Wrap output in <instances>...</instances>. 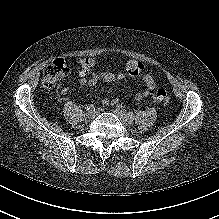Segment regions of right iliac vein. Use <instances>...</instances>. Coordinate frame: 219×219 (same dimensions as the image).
Wrapping results in <instances>:
<instances>
[{"label":"right iliac vein","mask_w":219,"mask_h":219,"mask_svg":"<svg viewBox=\"0 0 219 219\" xmlns=\"http://www.w3.org/2000/svg\"><path fill=\"white\" fill-rule=\"evenodd\" d=\"M94 117H95V113L93 111H90V112L86 113V118L93 119Z\"/></svg>","instance_id":"63e3f726"}]
</instances>
